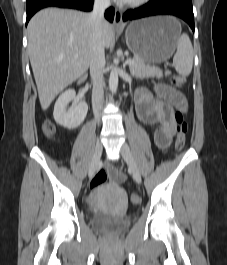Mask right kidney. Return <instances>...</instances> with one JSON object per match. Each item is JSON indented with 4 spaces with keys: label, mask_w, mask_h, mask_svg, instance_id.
<instances>
[{
    "label": "right kidney",
    "mask_w": 227,
    "mask_h": 265,
    "mask_svg": "<svg viewBox=\"0 0 227 265\" xmlns=\"http://www.w3.org/2000/svg\"><path fill=\"white\" fill-rule=\"evenodd\" d=\"M75 95L73 89L66 90L59 96L54 106L53 116L56 123L67 129L77 128L84 121L88 112V105L84 101L78 103L74 108L66 110V106L75 98Z\"/></svg>",
    "instance_id": "ca27d5eb"
}]
</instances>
